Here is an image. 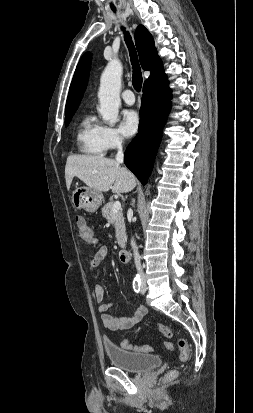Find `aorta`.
<instances>
[{"instance_id": "762f6f07", "label": "aorta", "mask_w": 253, "mask_h": 413, "mask_svg": "<svg viewBox=\"0 0 253 413\" xmlns=\"http://www.w3.org/2000/svg\"><path fill=\"white\" fill-rule=\"evenodd\" d=\"M123 67L119 60H111L100 78L98 98L99 112L103 120L113 126L118 121L119 107L121 104L120 90Z\"/></svg>"}]
</instances>
